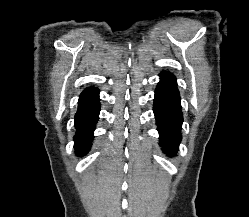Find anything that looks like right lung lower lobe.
<instances>
[{
    "mask_svg": "<svg viewBox=\"0 0 249 217\" xmlns=\"http://www.w3.org/2000/svg\"><path fill=\"white\" fill-rule=\"evenodd\" d=\"M78 104V111L75 115L77 131L74 141L75 149L81 155L90 149L93 131L98 120L100 111L98 89L93 87L85 89L80 95Z\"/></svg>",
    "mask_w": 249,
    "mask_h": 217,
    "instance_id": "98d812e1",
    "label": "right lung lower lobe"
}]
</instances>
